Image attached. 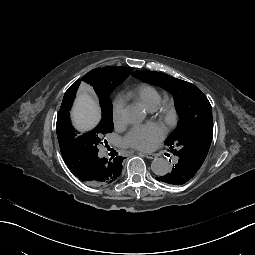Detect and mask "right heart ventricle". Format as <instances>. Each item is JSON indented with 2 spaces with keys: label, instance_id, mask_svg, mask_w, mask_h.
I'll use <instances>...</instances> for the list:
<instances>
[{
  "label": "right heart ventricle",
  "instance_id": "right-heart-ventricle-1",
  "mask_svg": "<svg viewBox=\"0 0 255 255\" xmlns=\"http://www.w3.org/2000/svg\"><path fill=\"white\" fill-rule=\"evenodd\" d=\"M132 95L149 111H156L161 102V93L159 89L151 84L140 85Z\"/></svg>",
  "mask_w": 255,
  "mask_h": 255
}]
</instances>
